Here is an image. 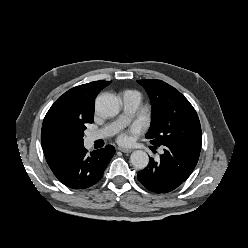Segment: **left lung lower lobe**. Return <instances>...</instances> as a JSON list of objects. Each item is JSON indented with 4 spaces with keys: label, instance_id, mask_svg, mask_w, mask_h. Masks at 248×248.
I'll list each match as a JSON object with an SVG mask.
<instances>
[{
    "label": "left lung lower lobe",
    "instance_id": "0a47b994",
    "mask_svg": "<svg viewBox=\"0 0 248 248\" xmlns=\"http://www.w3.org/2000/svg\"><path fill=\"white\" fill-rule=\"evenodd\" d=\"M161 148L163 154L160 155V160L155 162L151 158L148 166L138 172V180L149 191L168 193L190 176L200 153L174 147Z\"/></svg>",
    "mask_w": 248,
    "mask_h": 248
}]
</instances>
